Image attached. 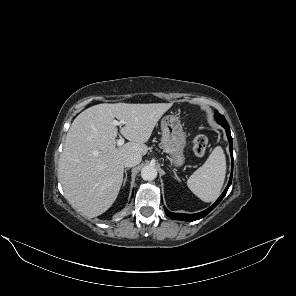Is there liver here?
<instances>
[{"label":"liver","instance_id":"liver-1","mask_svg":"<svg viewBox=\"0 0 296 296\" xmlns=\"http://www.w3.org/2000/svg\"><path fill=\"white\" fill-rule=\"evenodd\" d=\"M172 105L103 103L87 108L74 119L60 155L58 178L76 211L96 217L112 206L122 185L125 158L147 153L145 143ZM114 118L124 122L120 132L129 140L118 147Z\"/></svg>","mask_w":296,"mask_h":296}]
</instances>
